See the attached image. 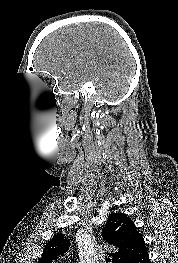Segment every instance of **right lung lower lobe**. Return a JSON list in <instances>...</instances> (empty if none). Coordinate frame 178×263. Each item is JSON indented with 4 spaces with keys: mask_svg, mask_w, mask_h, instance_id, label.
<instances>
[{
    "mask_svg": "<svg viewBox=\"0 0 178 263\" xmlns=\"http://www.w3.org/2000/svg\"><path fill=\"white\" fill-rule=\"evenodd\" d=\"M133 263H150L148 251L142 253Z\"/></svg>",
    "mask_w": 178,
    "mask_h": 263,
    "instance_id": "1",
    "label": "right lung lower lobe"
}]
</instances>
